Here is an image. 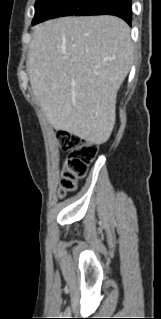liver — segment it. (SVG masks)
<instances>
[{"label": "liver", "mask_w": 161, "mask_h": 319, "mask_svg": "<svg viewBox=\"0 0 161 319\" xmlns=\"http://www.w3.org/2000/svg\"><path fill=\"white\" fill-rule=\"evenodd\" d=\"M133 53L130 28L118 17H63L36 27L27 69L49 123L88 142L105 143Z\"/></svg>", "instance_id": "obj_1"}]
</instances>
